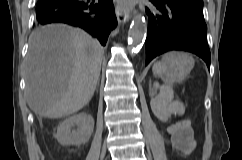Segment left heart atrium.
<instances>
[{"label": "left heart atrium", "instance_id": "1", "mask_svg": "<svg viewBox=\"0 0 242 160\" xmlns=\"http://www.w3.org/2000/svg\"><path fill=\"white\" fill-rule=\"evenodd\" d=\"M120 6L124 9H127L131 6L132 0H118Z\"/></svg>", "mask_w": 242, "mask_h": 160}]
</instances>
